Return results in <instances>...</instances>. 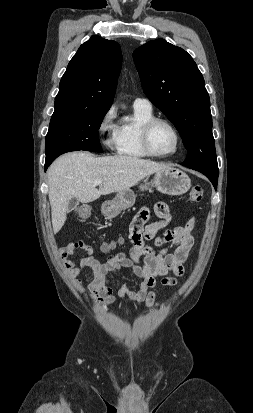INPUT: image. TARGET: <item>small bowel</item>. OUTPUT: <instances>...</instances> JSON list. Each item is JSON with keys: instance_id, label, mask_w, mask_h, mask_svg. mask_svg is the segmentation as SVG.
Here are the masks:
<instances>
[{"instance_id": "small-bowel-1", "label": "small bowel", "mask_w": 253, "mask_h": 413, "mask_svg": "<svg viewBox=\"0 0 253 413\" xmlns=\"http://www.w3.org/2000/svg\"><path fill=\"white\" fill-rule=\"evenodd\" d=\"M153 211L159 218L158 221L148 223L150 209L147 207L142 208L134 217L129 228L132 247L128 254L117 252L101 262L94 256L92 247L82 240L70 243L59 250V258L71 277L76 279L85 268L92 270L94 279L89 284V295L98 305L114 303L115 297L109 285V275L123 269H130L141 279V284L137 291L122 286L118 296L129 305L139 306L144 303L148 308L158 305L156 292L149 291L150 288L155 287L158 282L163 286H174L178 282V277L183 275L184 264L193 246L192 231L195 219L190 217L184 226L166 229L163 235L159 236L158 232L167 227L172 216L164 202L156 203ZM146 241H153L158 249ZM168 245L176 246L173 253H168ZM77 251H83L85 256L79 260L73 259ZM75 281L79 282L78 279Z\"/></svg>"}]
</instances>
